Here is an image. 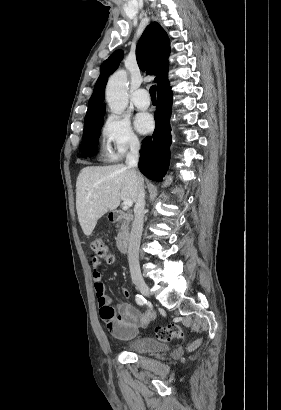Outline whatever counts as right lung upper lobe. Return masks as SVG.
Wrapping results in <instances>:
<instances>
[{
    "label": "right lung upper lobe",
    "mask_w": 281,
    "mask_h": 410,
    "mask_svg": "<svg viewBox=\"0 0 281 410\" xmlns=\"http://www.w3.org/2000/svg\"><path fill=\"white\" fill-rule=\"evenodd\" d=\"M169 53L170 42L166 32L157 22L149 24L137 44L136 58L141 70H146L148 74L157 75L154 81L158 84V90L169 85ZM122 56V51H115L101 65L100 76L88 103L85 123L104 115L105 104L103 101L107 78L117 69Z\"/></svg>",
    "instance_id": "1"
}]
</instances>
